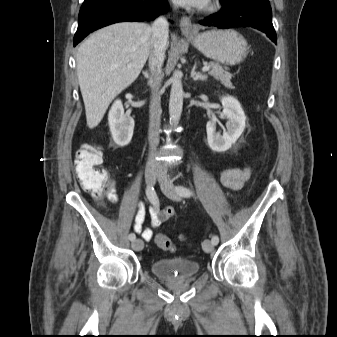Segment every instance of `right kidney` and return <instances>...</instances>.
Returning a JSON list of instances; mask_svg holds the SVG:
<instances>
[{"mask_svg": "<svg viewBox=\"0 0 337 337\" xmlns=\"http://www.w3.org/2000/svg\"><path fill=\"white\" fill-rule=\"evenodd\" d=\"M108 122L114 142L120 147L128 145L133 136L134 120L124 114L121 100L113 103L108 114Z\"/></svg>", "mask_w": 337, "mask_h": 337, "instance_id": "obj_1", "label": "right kidney"}]
</instances>
